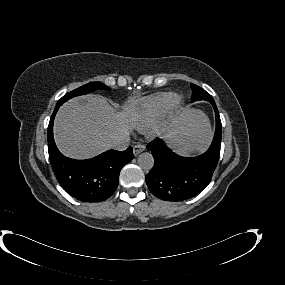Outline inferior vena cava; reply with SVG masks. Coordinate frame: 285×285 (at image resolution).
<instances>
[{"instance_id": "1", "label": "inferior vena cava", "mask_w": 285, "mask_h": 285, "mask_svg": "<svg viewBox=\"0 0 285 285\" xmlns=\"http://www.w3.org/2000/svg\"><path fill=\"white\" fill-rule=\"evenodd\" d=\"M130 139L127 134H120L108 142V147L114 150L123 151L129 146Z\"/></svg>"}]
</instances>
